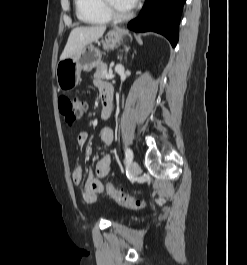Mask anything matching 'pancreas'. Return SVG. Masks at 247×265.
<instances>
[{"mask_svg": "<svg viewBox=\"0 0 247 265\" xmlns=\"http://www.w3.org/2000/svg\"><path fill=\"white\" fill-rule=\"evenodd\" d=\"M107 75V65L104 63H101L94 73V79H106Z\"/></svg>", "mask_w": 247, "mask_h": 265, "instance_id": "pancreas-1", "label": "pancreas"}]
</instances>
